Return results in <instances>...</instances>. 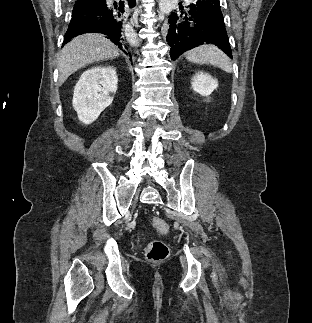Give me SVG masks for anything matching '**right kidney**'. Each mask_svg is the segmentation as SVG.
<instances>
[{"label":"right kidney","mask_w":312,"mask_h":323,"mask_svg":"<svg viewBox=\"0 0 312 323\" xmlns=\"http://www.w3.org/2000/svg\"><path fill=\"white\" fill-rule=\"evenodd\" d=\"M118 76L113 66H94L83 72L73 94V108L80 122L92 124L113 102Z\"/></svg>","instance_id":"obj_1"}]
</instances>
